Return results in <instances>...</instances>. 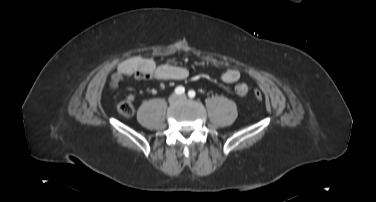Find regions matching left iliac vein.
<instances>
[{"mask_svg": "<svg viewBox=\"0 0 376 202\" xmlns=\"http://www.w3.org/2000/svg\"><path fill=\"white\" fill-rule=\"evenodd\" d=\"M179 99H182V100L186 99V95L179 96Z\"/></svg>", "mask_w": 376, "mask_h": 202, "instance_id": "obj_1", "label": "left iliac vein"}]
</instances>
